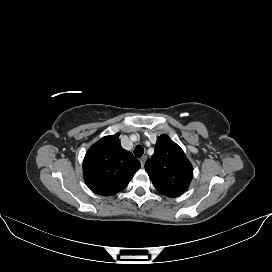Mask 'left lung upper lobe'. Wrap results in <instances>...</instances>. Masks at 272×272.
Segmentation results:
<instances>
[{
	"label": "left lung upper lobe",
	"instance_id": "5c2ea615",
	"mask_svg": "<svg viewBox=\"0 0 272 272\" xmlns=\"http://www.w3.org/2000/svg\"><path fill=\"white\" fill-rule=\"evenodd\" d=\"M145 170L156 190L168 197H178L189 187L193 168L183 150L167 135L157 138L155 152L145 163Z\"/></svg>",
	"mask_w": 272,
	"mask_h": 272
}]
</instances>
